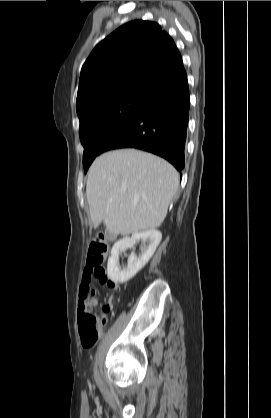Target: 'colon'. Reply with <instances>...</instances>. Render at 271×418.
Returning <instances> with one entry per match:
<instances>
[{
	"mask_svg": "<svg viewBox=\"0 0 271 418\" xmlns=\"http://www.w3.org/2000/svg\"><path fill=\"white\" fill-rule=\"evenodd\" d=\"M108 250L106 237L102 233H97L91 240L87 258V278L90 283L93 279H99L101 282L108 280L105 270L102 266ZM90 287L83 294V300H90ZM111 309V303L104 305L103 311L108 312ZM106 324L104 316L96 315L91 310L82 309L79 311V332L81 343L84 348L93 347Z\"/></svg>",
	"mask_w": 271,
	"mask_h": 418,
	"instance_id": "obj_1",
	"label": "colon"
}]
</instances>
